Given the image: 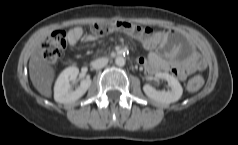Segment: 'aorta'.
<instances>
[{
    "label": "aorta",
    "mask_w": 238,
    "mask_h": 145,
    "mask_svg": "<svg viewBox=\"0 0 238 145\" xmlns=\"http://www.w3.org/2000/svg\"><path fill=\"white\" fill-rule=\"evenodd\" d=\"M125 63H126V60H125L124 57H122V56L116 57V59H115V64H116L117 66L122 67V66L125 65Z\"/></svg>",
    "instance_id": "obj_1"
}]
</instances>
